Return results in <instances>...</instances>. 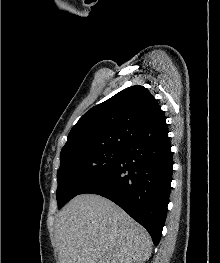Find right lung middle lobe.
Segmentation results:
<instances>
[{
  "label": "right lung middle lobe",
  "instance_id": "right-lung-middle-lobe-1",
  "mask_svg": "<svg viewBox=\"0 0 220 263\" xmlns=\"http://www.w3.org/2000/svg\"><path fill=\"white\" fill-rule=\"evenodd\" d=\"M123 151L120 148H94L60 155L56 191L58 208H62L67 201L118 162Z\"/></svg>",
  "mask_w": 220,
  "mask_h": 263
}]
</instances>
